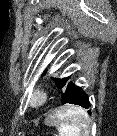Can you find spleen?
<instances>
[{"instance_id": "spleen-1", "label": "spleen", "mask_w": 117, "mask_h": 136, "mask_svg": "<svg viewBox=\"0 0 117 136\" xmlns=\"http://www.w3.org/2000/svg\"><path fill=\"white\" fill-rule=\"evenodd\" d=\"M46 124L54 126L60 136H88L89 116L84 109L65 105L56 109L46 119Z\"/></svg>"}]
</instances>
